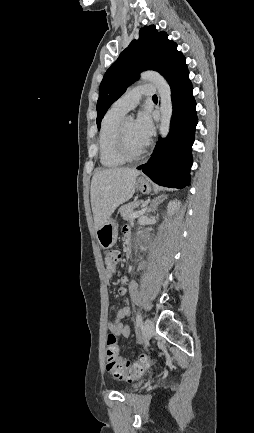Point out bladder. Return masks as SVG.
<instances>
[{
	"label": "bladder",
	"instance_id": "1",
	"mask_svg": "<svg viewBox=\"0 0 254 433\" xmlns=\"http://www.w3.org/2000/svg\"><path fill=\"white\" fill-rule=\"evenodd\" d=\"M137 386H138V384L136 383V384L131 386V389L136 388Z\"/></svg>",
	"mask_w": 254,
	"mask_h": 433
}]
</instances>
